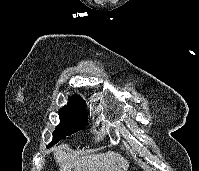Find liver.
Here are the masks:
<instances>
[{"label":"liver","mask_w":199,"mask_h":171,"mask_svg":"<svg viewBox=\"0 0 199 171\" xmlns=\"http://www.w3.org/2000/svg\"><path fill=\"white\" fill-rule=\"evenodd\" d=\"M66 150V145L53 148L59 171H127L129 167V162L115 152L76 158Z\"/></svg>","instance_id":"obj_1"}]
</instances>
